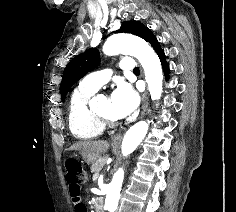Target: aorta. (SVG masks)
<instances>
[{"label":"aorta","instance_id":"762f6f07","mask_svg":"<svg viewBox=\"0 0 236 212\" xmlns=\"http://www.w3.org/2000/svg\"><path fill=\"white\" fill-rule=\"evenodd\" d=\"M103 52L108 56L120 53L135 56L144 69L151 98L156 100L161 97L163 74L160 60L146 41L130 34H114L105 42ZM96 101L97 98L91 100L92 103H96ZM148 128L149 123L146 121H139L129 128L121 145L123 156L131 154L138 147L146 136ZM123 179L124 171L119 168L105 188L104 208L108 212H116L118 209Z\"/></svg>","mask_w":236,"mask_h":212}]
</instances>
